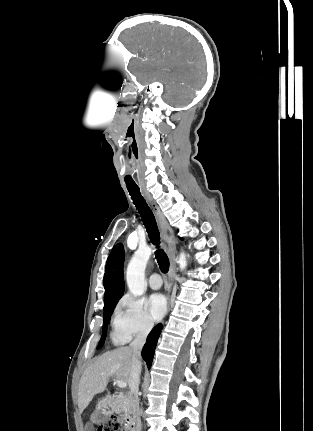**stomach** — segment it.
<instances>
[{
    "mask_svg": "<svg viewBox=\"0 0 313 431\" xmlns=\"http://www.w3.org/2000/svg\"><path fill=\"white\" fill-rule=\"evenodd\" d=\"M111 400L107 397L100 398L97 401L96 409L93 412L91 418L95 423L105 422L109 415V409Z\"/></svg>",
    "mask_w": 313,
    "mask_h": 431,
    "instance_id": "stomach-1",
    "label": "stomach"
}]
</instances>
